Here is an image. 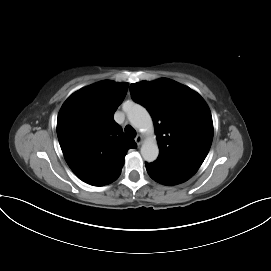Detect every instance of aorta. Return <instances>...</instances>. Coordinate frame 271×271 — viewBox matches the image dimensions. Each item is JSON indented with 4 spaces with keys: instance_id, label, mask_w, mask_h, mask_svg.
I'll return each instance as SVG.
<instances>
[{
    "instance_id": "obj_1",
    "label": "aorta",
    "mask_w": 271,
    "mask_h": 271,
    "mask_svg": "<svg viewBox=\"0 0 271 271\" xmlns=\"http://www.w3.org/2000/svg\"><path fill=\"white\" fill-rule=\"evenodd\" d=\"M130 123L139 130L153 133V121L148 111L141 105L132 103L126 110ZM159 154L158 144L155 138H149L141 146V155L147 162H153Z\"/></svg>"
}]
</instances>
